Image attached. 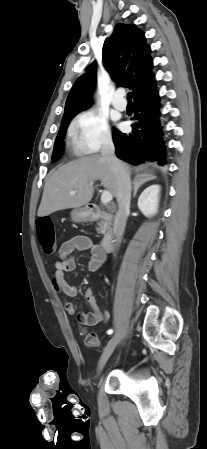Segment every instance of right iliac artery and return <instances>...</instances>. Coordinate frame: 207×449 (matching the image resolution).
Listing matches in <instances>:
<instances>
[{
	"mask_svg": "<svg viewBox=\"0 0 207 449\" xmlns=\"http://www.w3.org/2000/svg\"><path fill=\"white\" fill-rule=\"evenodd\" d=\"M113 333V330L112 329H109L108 331H107V334H112Z\"/></svg>",
	"mask_w": 207,
	"mask_h": 449,
	"instance_id": "1",
	"label": "right iliac artery"
}]
</instances>
